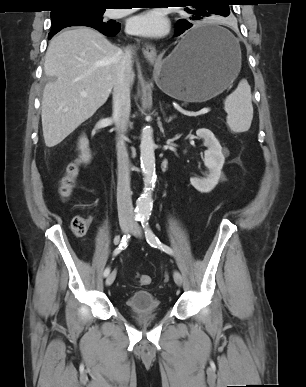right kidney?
Instances as JSON below:
<instances>
[{
    "label": "right kidney",
    "mask_w": 306,
    "mask_h": 387,
    "mask_svg": "<svg viewBox=\"0 0 306 387\" xmlns=\"http://www.w3.org/2000/svg\"><path fill=\"white\" fill-rule=\"evenodd\" d=\"M88 144L89 142L85 136L80 138L79 140V149L81 150L80 158L85 163L89 162V160L91 159V154L88 148L89 147Z\"/></svg>",
    "instance_id": "right-kidney-1"
}]
</instances>
